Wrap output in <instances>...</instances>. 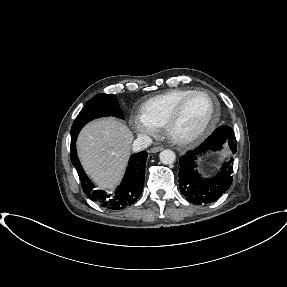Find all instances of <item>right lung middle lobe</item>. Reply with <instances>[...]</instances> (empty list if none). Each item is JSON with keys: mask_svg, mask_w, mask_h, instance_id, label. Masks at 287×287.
<instances>
[{"mask_svg": "<svg viewBox=\"0 0 287 287\" xmlns=\"http://www.w3.org/2000/svg\"><path fill=\"white\" fill-rule=\"evenodd\" d=\"M104 116L124 118L117 98L111 94L100 93L91 98L76 117L71 127V139L78 135L81 128L87 122Z\"/></svg>", "mask_w": 287, "mask_h": 287, "instance_id": "1", "label": "right lung middle lobe"}]
</instances>
